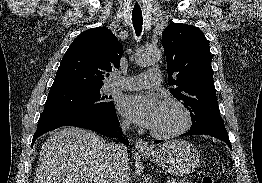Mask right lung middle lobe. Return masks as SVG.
Here are the masks:
<instances>
[{
	"instance_id": "obj_1",
	"label": "right lung middle lobe",
	"mask_w": 262,
	"mask_h": 183,
	"mask_svg": "<svg viewBox=\"0 0 262 183\" xmlns=\"http://www.w3.org/2000/svg\"><path fill=\"white\" fill-rule=\"evenodd\" d=\"M99 88L67 89L49 92L45 108H77L82 110H105L114 107L108 96H101ZM111 98V97H109Z\"/></svg>"
}]
</instances>
